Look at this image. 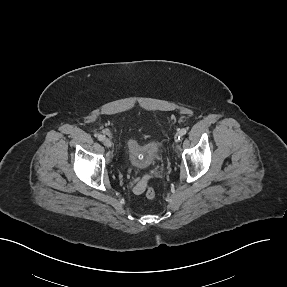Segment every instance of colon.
<instances>
[{
	"label": "colon",
	"mask_w": 287,
	"mask_h": 287,
	"mask_svg": "<svg viewBox=\"0 0 287 287\" xmlns=\"http://www.w3.org/2000/svg\"><path fill=\"white\" fill-rule=\"evenodd\" d=\"M144 192L145 196L150 200L156 197V191L151 186H146Z\"/></svg>",
	"instance_id": "5ec220e1"
}]
</instances>
